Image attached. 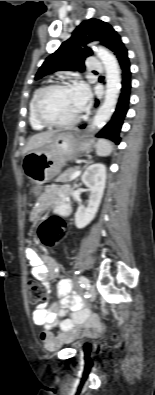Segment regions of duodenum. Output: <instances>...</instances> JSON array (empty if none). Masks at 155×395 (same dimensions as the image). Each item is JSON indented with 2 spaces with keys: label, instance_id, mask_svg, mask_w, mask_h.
Returning a JSON list of instances; mask_svg holds the SVG:
<instances>
[{
  "label": "duodenum",
  "instance_id": "obj_1",
  "mask_svg": "<svg viewBox=\"0 0 155 395\" xmlns=\"http://www.w3.org/2000/svg\"><path fill=\"white\" fill-rule=\"evenodd\" d=\"M67 213H68V211L64 212V214H63V215H66Z\"/></svg>",
  "mask_w": 155,
  "mask_h": 395
}]
</instances>
